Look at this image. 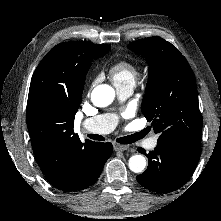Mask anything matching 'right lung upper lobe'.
Returning <instances> with one entry per match:
<instances>
[{
  "label": "right lung upper lobe",
  "mask_w": 221,
  "mask_h": 221,
  "mask_svg": "<svg viewBox=\"0 0 221 221\" xmlns=\"http://www.w3.org/2000/svg\"><path fill=\"white\" fill-rule=\"evenodd\" d=\"M98 45L60 43L41 60L32 76L27 127L36 160L48 181L58 189L74 178L78 156L93 143L81 142L73 126L89 70L81 60Z\"/></svg>",
  "instance_id": "1"
}]
</instances>
